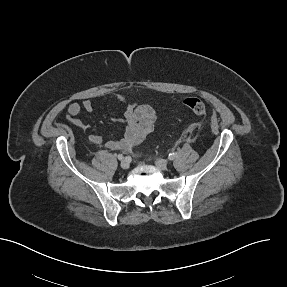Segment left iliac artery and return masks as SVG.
<instances>
[{
	"label": "left iliac artery",
	"instance_id": "obj_1",
	"mask_svg": "<svg viewBox=\"0 0 287 287\" xmlns=\"http://www.w3.org/2000/svg\"><path fill=\"white\" fill-rule=\"evenodd\" d=\"M177 156H178L177 152H173V153H170V154H169V157H168V158H169L170 160H173V159L176 158Z\"/></svg>",
	"mask_w": 287,
	"mask_h": 287
}]
</instances>
